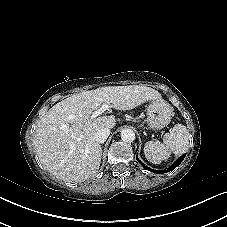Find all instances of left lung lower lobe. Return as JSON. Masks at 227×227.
<instances>
[{
    "mask_svg": "<svg viewBox=\"0 0 227 227\" xmlns=\"http://www.w3.org/2000/svg\"><path fill=\"white\" fill-rule=\"evenodd\" d=\"M185 156H186V154H184V155H182L181 157H179L178 159H177V161L172 165V166H170L169 168H167L166 170H161V171H157V170H154V169H151V168H149V167H147V166H145L143 163H141L140 162V160H139V158L136 156V159H137V161L146 169V170H148V171H151V172H154V173H166V172H169V171H172V170H174L182 161H183V159L185 158Z\"/></svg>",
    "mask_w": 227,
    "mask_h": 227,
    "instance_id": "0a47b994",
    "label": "left lung lower lobe"
}]
</instances>
